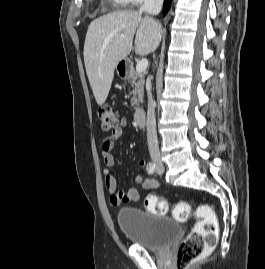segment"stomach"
Segmentation results:
<instances>
[{
	"instance_id": "obj_1",
	"label": "stomach",
	"mask_w": 265,
	"mask_h": 269,
	"mask_svg": "<svg viewBox=\"0 0 265 269\" xmlns=\"http://www.w3.org/2000/svg\"><path fill=\"white\" fill-rule=\"evenodd\" d=\"M120 65V71L117 69V71H118V74L119 75H122L123 74V67L125 68V67H128L129 66V62H128V60H121V61H119L118 63H117V65H116V68H118V66Z\"/></svg>"
}]
</instances>
